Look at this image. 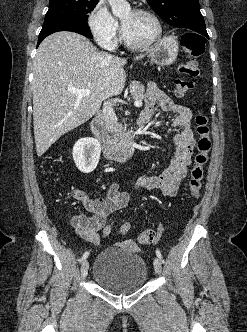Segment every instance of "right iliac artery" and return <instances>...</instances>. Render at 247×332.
<instances>
[{
	"label": "right iliac artery",
	"instance_id": "right-iliac-artery-1",
	"mask_svg": "<svg viewBox=\"0 0 247 332\" xmlns=\"http://www.w3.org/2000/svg\"><path fill=\"white\" fill-rule=\"evenodd\" d=\"M88 255H89V252H88V251L85 252V253L83 254L82 258L80 259V262H82L83 260H85V259L88 257Z\"/></svg>",
	"mask_w": 247,
	"mask_h": 332
}]
</instances>
